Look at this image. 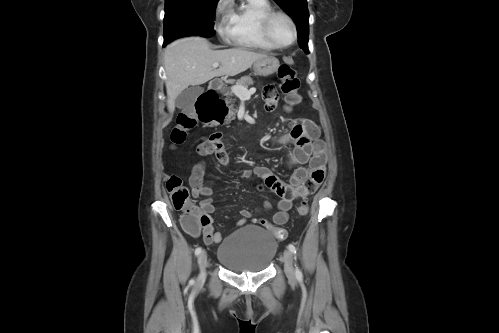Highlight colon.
Instances as JSON below:
<instances>
[{
  "label": "colon",
  "mask_w": 499,
  "mask_h": 333,
  "mask_svg": "<svg viewBox=\"0 0 499 333\" xmlns=\"http://www.w3.org/2000/svg\"><path fill=\"white\" fill-rule=\"evenodd\" d=\"M278 77L281 81L280 87L284 94L285 106L288 110H292L298 106L302 100L299 93L300 81L295 71L288 65L280 66ZM210 98L216 113L215 117L208 122H218L224 117L227 110L224 102L216 93L211 94ZM196 124L197 119L193 115L188 113L180 114L177 118V123L170 134L171 143L174 146L184 143L188 132L191 131ZM166 189L170 194L175 209L180 210L183 213L182 224L184 228L194 234H198L203 230L204 239H210L212 231L210 228V218L199 205L190 200L188 188L183 184L181 178L176 175H171L166 181ZM308 210V204L304 200L297 207V214L299 216H305L308 213ZM260 223L269 228L277 239L284 240L287 237L285 229L273 227L266 220H261Z\"/></svg>",
  "instance_id": "obj_1"
}]
</instances>
